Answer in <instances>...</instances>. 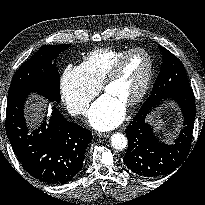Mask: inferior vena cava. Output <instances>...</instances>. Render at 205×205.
I'll list each match as a JSON object with an SVG mask.
<instances>
[{
	"label": "inferior vena cava",
	"instance_id": "1",
	"mask_svg": "<svg viewBox=\"0 0 205 205\" xmlns=\"http://www.w3.org/2000/svg\"><path fill=\"white\" fill-rule=\"evenodd\" d=\"M88 107L86 105L84 106H79L74 109L73 113L74 114H86L87 113Z\"/></svg>",
	"mask_w": 205,
	"mask_h": 205
}]
</instances>
